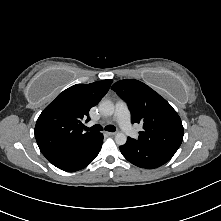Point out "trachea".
I'll return each instance as SVG.
<instances>
[{"label":"trachea","instance_id":"trachea-1","mask_svg":"<svg viewBox=\"0 0 221 221\" xmlns=\"http://www.w3.org/2000/svg\"><path fill=\"white\" fill-rule=\"evenodd\" d=\"M106 131H109V132H114L116 131V127H114L113 125H107L105 128H104ZM85 130L87 131H91V132H99L102 130V126L99 125V124H96L90 128L88 127H85Z\"/></svg>","mask_w":221,"mask_h":221}]
</instances>
